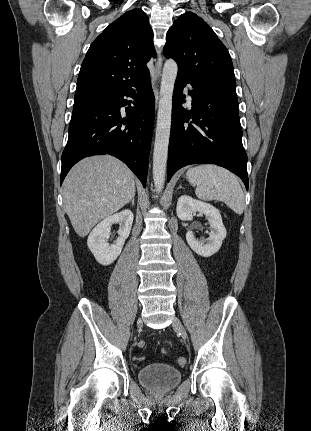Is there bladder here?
Here are the masks:
<instances>
[{
  "instance_id": "bladder-1",
  "label": "bladder",
  "mask_w": 311,
  "mask_h": 431,
  "mask_svg": "<svg viewBox=\"0 0 311 431\" xmlns=\"http://www.w3.org/2000/svg\"><path fill=\"white\" fill-rule=\"evenodd\" d=\"M137 378L145 388L164 393L174 389L181 382L182 373L166 363H150L138 370Z\"/></svg>"
}]
</instances>
